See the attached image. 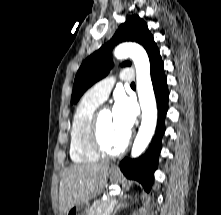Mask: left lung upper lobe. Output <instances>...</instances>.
<instances>
[{
	"label": "left lung upper lobe",
	"mask_w": 221,
	"mask_h": 215,
	"mask_svg": "<svg viewBox=\"0 0 221 215\" xmlns=\"http://www.w3.org/2000/svg\"><path fill=\"white\" fill-rule=\"evenodd\" d=\"M126 41L141 44L147 51L150 61L159 52L147 24L138 15L129 16L126 22L119 26L112 39L82 63L75 76L71 104L76 103L94 83L108 75L113 66L112 49ZM123 66H130V62L123 63Z\"/></svg>",
	"instance_id": "left-lung-upper-lobe-1"
}]
</instances>
